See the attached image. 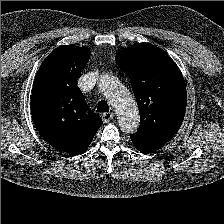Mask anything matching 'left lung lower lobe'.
<instances>
[{
    "label": "left lung lower lobe",
    "instance_id": "0a47b994",
    "mask_svg": "<svg viewBox=\"0 0 224 224\" xmlns=\"http://www.w3.org/2000/svg\"><path fill=\"white\" fill-rule=\"evenodd\" d=\"M130 138L136 149L142 153L154 152L165 145L163 142L138 131L130 135Z\"/></svg>",
    "mask_w": 224,
    "mask_h": 224
}]
</instances>
